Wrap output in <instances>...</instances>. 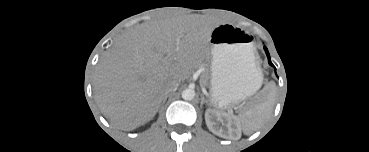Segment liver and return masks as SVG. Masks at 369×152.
<instances>
[{
    "mask_svg": "<svg viewBox=\"0 0 369 152\" xmlns=\"http://www.w3.org/2000/svg\"><path fill=\"white\" fill-rule=\"evenodd\" d=\"M216 26L173 17L123 34L96 67L95 98L104 115L127 131L151 120L164 98L165 84L189 77L204 59Z\"/></svg>",
    "mask_w": 369,
    "mask_h": 152,
    "instance_id": "1",
    "label": "liver"
}]
</instances>
